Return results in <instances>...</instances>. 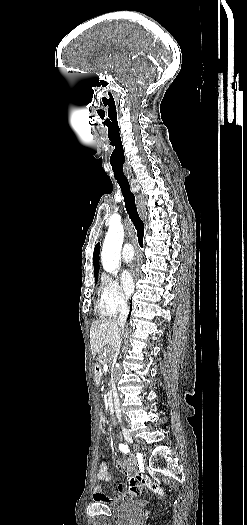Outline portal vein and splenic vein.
<instances>
[{
	"label": "portal vein and splenic vein",
	"instance_id": "portal-vein-and-splenic-vein-1",
	"mask_svg": "<svg viewBox=\"0 0 247 525\" xmlns=\"http://www.w3.org/2000/svg\"><path fill=\"white\" fill-rule=\"evenodd\" d=\"M107 368H109V365H107V363H104V367H101V370H104V375H106V380H109Z\"/></svg>",
	"mask_w": 247,
	"mask_h": 525
}]
</instances>
